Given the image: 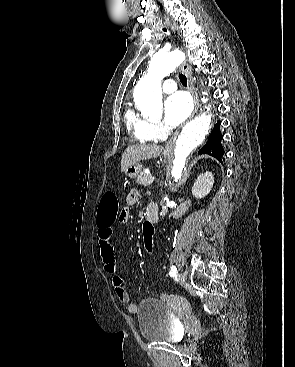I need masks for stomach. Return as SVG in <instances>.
Returning <instances> with one entry per match:
<instances>
[{
    "label": "stomach",
    "instance_id": "1",
    "mask_svg": "<svg viewBox=\"0 0 295 367\" xmlns=\"http://www.w3.org/2000/svg\"><path fill=\"white\" fill-rule=\"evenodd\" d=\"M141 170H142V165L139 163H135L126 168L125 174L129 178H136L140 175Z\"/></svg>",
    "mask_w": 295,
    "mask_h": 367
}]
</instances>
